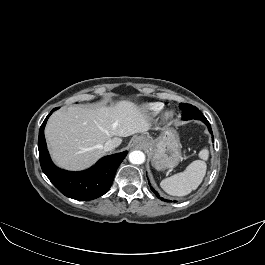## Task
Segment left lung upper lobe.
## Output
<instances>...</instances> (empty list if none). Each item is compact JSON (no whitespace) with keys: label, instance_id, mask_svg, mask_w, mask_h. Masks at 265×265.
<instances>
[{"label":"left lung upper lobe","instance_id":"obj_1","mask_svg":"<svg viewBox=\"0 0 265 265\" xmlns=\"http://www.w3.org/2000/svg\"><path fill=\"white\" fill-rule=\"evenodd\" d=\"M180 109L182 110V118L184 120L193 119L194 117L203 115L198 108L190 104L180 103Z\"/></svg>","mask_w":265,"mask_h":265}]
</instances>
